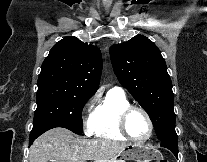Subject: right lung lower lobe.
<instances>
[{
  "label": "right lung lower lobe",
  "mask_w": 207,
  "mask_h": 162,
  "mask_svg": "<svg viewBox=\"0 0 207 162\" xmlns=\"http://www.w3.org/2000/svg\"><path fill=\"white\" fill-rule=\"evenodd\" d=\"M53 127L51 126H41L39 128L36 129H32L31 133H30V143L29 146L33 143V141L40 136L42 133L46 132L49 129H52Z\"/></svg>",
  "instance_id": "98d812e1"
}]
</instances>
